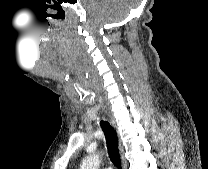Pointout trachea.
<instances>
[{"label":"trachea","instance_id":"trachea-1","mask_svg":"<svg viewBox=\"0 0 208 169\" xmlns=\"http://www.w3.org/2000/svg\"><path fill=\"white\" fill-rule=\"evenodd\" d=\"M100 126L105 134L110 160L118 169H122L121 157L118 148V137L115 129L108 121H101Z\"/></svg>","mask_w":208,"mask_h":169}]
</instances>
